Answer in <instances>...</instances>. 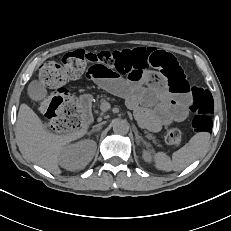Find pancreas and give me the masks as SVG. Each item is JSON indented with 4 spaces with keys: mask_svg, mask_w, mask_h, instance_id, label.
<instances>
[{
    "mask_svg": "<svg viewBox=\"0 0 231 231\" xmlns=\"http://www.w3.org/2000/svg\"><path fill=\"white\" fill-rule=\"evenodd\" d=\"M109 100H110V99H109V98H106L105 95H104V96L102 95L100 101H101V103H102V102H104V101H109ZM146 138L149 139V140H152L155 144L158 145V142L156 141V137H155L153 134L147 132ZM158 146H159V145H158Z\"/></svg>",
    "mask_w": 231,
    "mask_h": 231,
    "instance_id": "pancreas-1",
    "label": "pancreas"
}]
</instances>
